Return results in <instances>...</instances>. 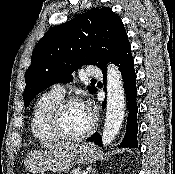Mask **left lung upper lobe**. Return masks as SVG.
I'll return each instance as SVG.
<instances>
[{
    "label": "left lung upper lobe",
    "instance_id": "obj_1",
    "mask_svg": "<svg viewBox=\"0 0 175 174\" xmlns=\"http://www.w3.org/2000/svg\"><path fill=\"white\" fill-rule=\"evenodd\" d=\"M128 44L122 20L106 7L91 9L51 28L36 45L25 73V107L50 85L72 82V72L82 65L105 70L106 63H114Z\"/></svg>",
    "mask_w": 175,
    "mask_h": 174
}]
</instances>
